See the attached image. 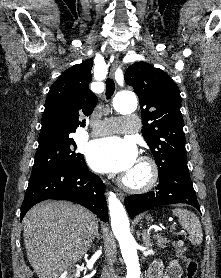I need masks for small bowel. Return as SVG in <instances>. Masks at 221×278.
Returning a JSON list of instances; mask_svg holds the SVG:
<instances>
[{
  "label": "small bowel",
  "instance_id": "obj_1",
  "mask_svg": "<svg viewBox=\"0 0 221 278\" xmlns=\"http://www.w3.org/2000/svg\"><path fill=\"white\" fill-rule=\"evenodd\" d=\"M182 269L177 260H173L165 268L162 262L155 261L149 270L147 278H181Z\"/></svg>",
  "mask_w": 221,
  "mask_h": 278
}]
</instances>
